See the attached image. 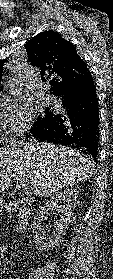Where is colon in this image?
Listing matches in <instances>:
<instances>
[{
    "label": "colon",
    "mask_w": 113,
    "mask_h": 279,
    "mask_svg": "<svg viewBox=\"0 0 113 279\" xmlns=\"http://www.w3.org/2000/svg\"><path fill=\"white\" fill-rule=\"evenodd\" d=\"M5 260L4 249L0 247V264L3 263Z\"/></svg>",
    "instance_id": "5ec220e1"
}]
</instances>
